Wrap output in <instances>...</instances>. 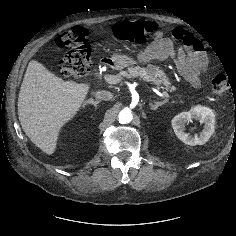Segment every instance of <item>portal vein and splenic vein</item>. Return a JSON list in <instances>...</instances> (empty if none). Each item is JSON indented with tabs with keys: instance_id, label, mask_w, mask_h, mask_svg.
Returning a JSON list of instances; mask_svg holds the SVG:
<instances>
[{
	"instance_id": "18ae733b",
	"label": "portal vein and splenic vein",
	"mask_w": 236,
	"mask_h": 236,
	"mask_svg": "<svg viewBox=\"0 0 236 236\" xmlns=\"http://www.w3.org/2000/svg\"><path fill=\"white\" fill-rule=\"evenodd\" d=\"M103 78L107 83H110V84H117L121 81V79L117 75L106 74L103 76ZM161 94L162 96L169 97L168 93L165 91H162Z\"/></svg>"
}]
</instances>
